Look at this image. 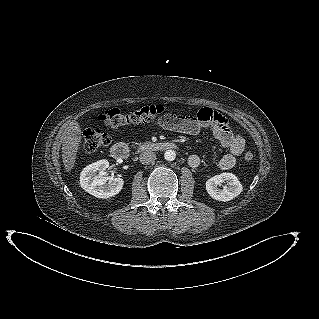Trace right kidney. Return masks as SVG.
<instances>
[{"label":"right kidney","instance_id":"1","mask_svg":"<svg viewBox=\"0 0 319 319\" xmlns=\"http://www.w3.org/2000/svg\"><path fill=\"white\" fill-rule=\"evenodd\" d=\"M108 160H99L85 167L80 174V186L89 194L102 199L117 195L124 185L120 177H107ZM98 173V174H97ZM108 181V184L106 183Z\"/></svg>","mask_w":319,"mask_h":319}]
</instances>
